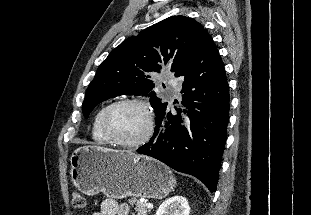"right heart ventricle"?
Returning a JSON list of instances; mask_svg holds the SVG:
<instances>
[{
	"label": "right heart ventricle",
	"mask_w": 311,
	"mask_h": 215,
	"mask_svg": "<svg viewBox=\"0 0 311 215\" xmlns=\"http://www.w3.org/2000/svg\"><path fill=\"white\" fill-rule=\"evenodd\" d=\"M108 105L102 106L95 114L94 119H93V125H92V137L94 139V141L98 144H109L111 143L107 137L104 135V133L102 132L101 129V117L102 114L105 110V108Z\"/></svg>",
	"instance_id": "obj_1"
}]
</instances>
